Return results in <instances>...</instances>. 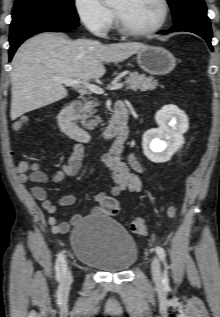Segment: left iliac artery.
Masks as SVG:
<instances>
[{"label":"left iliac artery","instance_id":"1","mask_svg":"<svg viewBox=\"0 0 220 317\" xmlns=\"http://www.w3.org/2000/svg\"><path fill=\"white\" fill-rule=\"evenodd\" d=\"M156 253L158 255V257L160 258V260L164 263L165 265V271H164V278L167 279V269H168V266H167V263H166V253H165V250L160 247V246H157L156 247Z\"/></svg>","mask_w":220,"mask_h":317}]
</instances>
